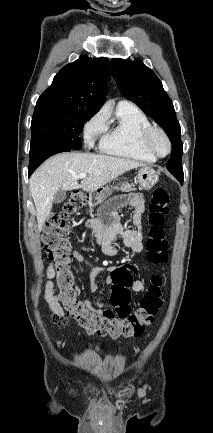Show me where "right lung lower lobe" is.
I'll return each instance as SVG.
<instances>
[{
  "instance_id": "right-lung-lower-lobe-1",
  "label": "right lung lower lobe",
  "mask_w": 213,
  "mask_h": 433,
  "mask_svg": "<svg viewBox=\"0 0 213 433\" xmlns=\"http://www.w3.org/2000/svg\"><path fill=\"white\" fill-rule=\"evenodd\" d=\"M72 148L57 144V143H42L34 147H30V162L28 176L48 157L60 153L71 151Z\"/></svg>"
}]
</instances>
